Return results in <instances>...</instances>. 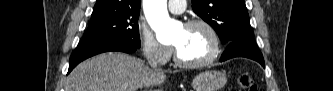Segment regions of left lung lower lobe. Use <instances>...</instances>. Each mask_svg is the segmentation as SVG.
Instances as JSON below:
<instances>
[{"label": "left lung lower lobe", "mask_w": 333, "mask_h": 91, "mask_svg": "<svg viewBox=\"0 0 333 91\" xmlns=\"http://www.w3.org/2000/svg\"><path fill=\"white\" fill-rule=\"evenodd\" d=\"M234 57H246L259 62L263 67L264 59L253 36H245L234 39L227 44L225 52L220 61H225Z\"/></svg>", "instance_id": "left-lung-lower-lobe-1"}]
</instances>
